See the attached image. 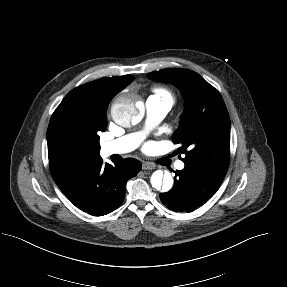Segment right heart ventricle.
<instances>
[{
  "label": "right heart ventricle",
  "instance_id": "e07e8e85",
  "mask_svg": "<svg viewBox=\"0 0 287 287\" xmlns=\"http://www.w3.org/2000/svg\"><path fill=\"white\" fill-rule=\"evenodd\" d=\"M153 92H154L153 96H155V97L167 99V100L171 101L172 103L174 101L173 93L167 88L156 87L153 89Z\"/></svg>",
  "mask_w": 287,
  "mask_h": 287
}]
</instances>
